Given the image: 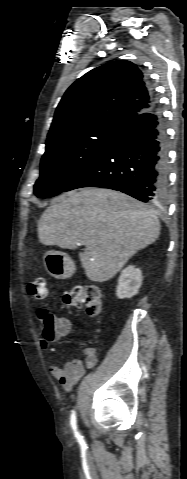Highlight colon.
I'll return each mask as SVG.
<instances>
[{"label": "colon", "mask_w": 187, "mask_h": 479, "mask_svg": "<svg viewBox=\"0 0 187 479\" xmlns=\"http://www.w3.org/2000/svg\"><path fill=\"white\" fill-rule=\"evenodd\" d=\"M27 292L31 297L45 299L48 296L46 280L42 276L35 277L27 284ZM64 304L68 307L84 309L90 317L97 316L102 309V296L98 287L94 285H75L69 287L63 296ZM38 318L42 324V337L47 340H56L62 337L63 325L47 310H39Z\"/></svg>", "instance_id": "5ec220e1"}]
</instances>
